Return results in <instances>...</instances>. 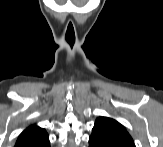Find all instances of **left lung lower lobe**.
<instances>
[{"instance_id":"left-lung-lower-lobe-1","label":"left lung lower lobe","mask_w":163,"mask_h":147,"mask_svg":"<svg viewBox=\"0 0 163 147\" xmlns=\"http://www.w3.org/2000/svg\"><path fill=\"white\" fill-rule=\"evenodd\" d=\"M89 147H135L131 137L92 131Z\"/></svg>"}]
</instances>
